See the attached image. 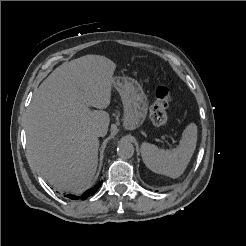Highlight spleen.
<instances>
[{
    "instance_id": "3e777b00",
    "label": "spleen",
    "mask_w": 246,
    "mask_h": 246,
    "mask_svg": "<svg viewBox=\"0 0 246 246\" xmlns=\"http://www.w3.org/2000/svg\"><path fill=\"white\" fill-rule=\"evenodd\" d=\"M196 143L197 126L190 123L185 128L177 148L164 150L154 144L142 143V159L151 171L171 178H178L190 162Z\"/></svg>"
}]
</instances>
